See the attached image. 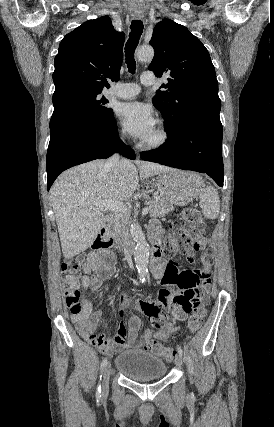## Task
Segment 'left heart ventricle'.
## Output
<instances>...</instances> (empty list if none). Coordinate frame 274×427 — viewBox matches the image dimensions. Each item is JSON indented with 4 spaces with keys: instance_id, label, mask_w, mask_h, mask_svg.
I'll return each instance as SVG.
<instances>
[{
    "instance_id": "left-heart-ventricle-1",
    "label": "left heart ventricle",
    "mask_w": 274,
    "mask_h": 427,
    "mask_svg": "<svg viewBox=\"0 0 274 427\" xmlns=\"http://www.w3.org/2000/svg\"><path fill=\"white\" fill-rule=\"evenodd\" d=\"M159 136H160L159 129L156 125L153 131L145 139H143V141H147V142L156 141L159 138Z\"/></svg>"
}]
</instances>
